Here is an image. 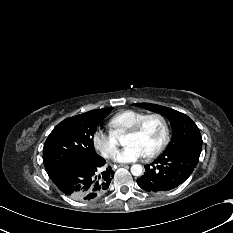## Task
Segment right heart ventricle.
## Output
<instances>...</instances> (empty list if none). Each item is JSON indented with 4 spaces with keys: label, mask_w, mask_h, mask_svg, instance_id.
I'll return each instance as SVG.
<instances>
[{
    "label": "right heart ventricle",
    "mask_w": 233,
    "mask_h": 233,
    "mask_svg": "<svg viewBox=\"0 0 233 233\" xmlns=\"http://www.w3.org/2000/svg\"><path fill=\"white\" fill-rule=\"evenodd\" d=\"M146 115L145 112L128 109L115 114L111 120L110 125L114 134H120L127 131L130 127L136 124L140 119Z\"/></svg>",
    "instance_id": "e07e8e85"
}]
</instances>
